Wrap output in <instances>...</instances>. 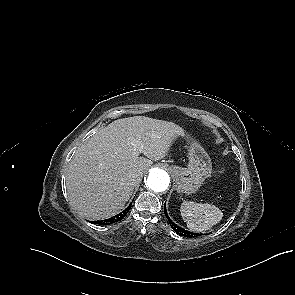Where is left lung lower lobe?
Listing matches in <instances>:
<instances>
[{
    "label": "left lung lower lobe",
    "instance_id": "1",
    "mask_svg": "<svg viewBox=\"0 0 295 295\" xmlns=\"http://www.w3.org/2000/svg\"><path fill=\"white\" fill-rule=\"evenodd\" d=\"M164 213H165V216L167 217V219H168V221H169V223H170L172 229H173L176 233H178L179 235L184 236V237H190V238H191V237H196V236L200 235V234H197V233L189 232V231H187V230H185V229H183V228L177 226L175 223H173V222L171 221V219L169 218L167 212H166L165 204H164Z\"/></svg>",
    "mask_w": 295,
    "mask_h": 295
}]
</instances>
